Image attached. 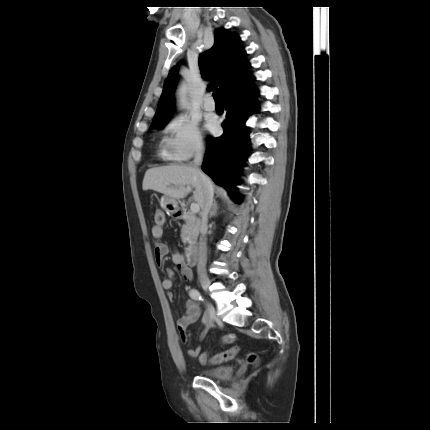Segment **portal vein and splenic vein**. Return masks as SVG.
I'll return each mask as SVG.
<instances>
[{"label": "portal vein and splenic vein", "instance_id": "obj_1", "mask_svg": "<svg viewBox=\"0 0 430 430\" xmlns=\"http://www.w3.org/2000/svg\"><path fill=\"white\" fill-rule=\"evenodd\" d=\"M179 189L183 190V191H186V192H190L191 191V187L190 186H187L186 188L185 187H180ZM190 210H191L192 213L199 212V210H200L199 205L197 203H192L191 206H190Z\"/></svg>", "mask_w": 430, "mask_h": 430}]
</instances>
